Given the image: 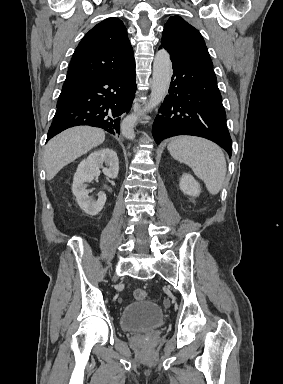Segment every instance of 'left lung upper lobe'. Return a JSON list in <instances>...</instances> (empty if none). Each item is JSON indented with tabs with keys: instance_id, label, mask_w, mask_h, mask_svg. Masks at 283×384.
Returning a JSON list of instances; mask_svg holds the SVG:
<instances>
[{
	"instance_id": "1",
	"label": "left lung upper lobe",
	"mask_w": 283,
	"mask_h": 384,
	"mask_svg": "<svg viewBox=\"0 0 283 384\" xmlns=\"http://www.w3.org/2000/svg\"><path fill=\"white\" fill-rule=\"evenodd\" d=\"M161 45L170 55L213 68L202 35L179 16L170 17L165 24Z\"/></svg>"
}]
</instances>
